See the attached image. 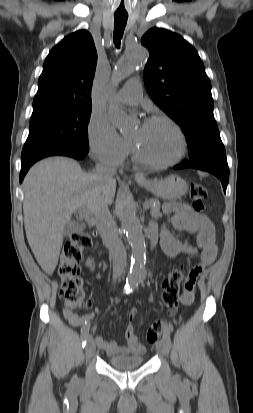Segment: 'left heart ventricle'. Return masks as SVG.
<instances>
[{"label":"left heart ventricle","instance_id":"b2bd125f","mask_svg":"<svg viewBox=\"0 0 253 413\" xmlns=\"http://www.w3.org/2000/svg\"><path fill=\"white\" fill-rule=\"evenodd\" d=\"M130 139L145 157L157 162L172 159L179 149L175 131L164 121L137 125L131 132Z\"/></svg>","mask_w":253,"mask_h":413}]
</instances>
